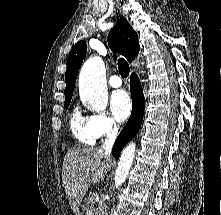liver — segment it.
<instances>
[{"mask_svg":"<svg viewBox=\"0 0 221 215\" xmlns=\"http://www.w3.org/2000/svg\"><path fill=\"white\" fill-rule=\"evenodd\" d=\"M111 165L100 148L70 149L62 167V181L72 211L77 214L88 188L103 179Z\"/></svg>","mask_w":221,"mask_h":215,"instance_id":"6515ba94","label":"liver"}]
</instances>
